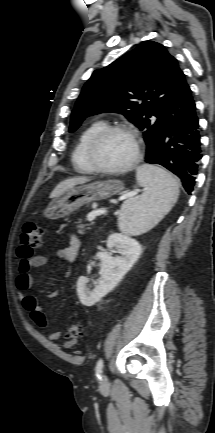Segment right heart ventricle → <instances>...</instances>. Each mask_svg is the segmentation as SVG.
<instances>
[{"label":"right heart ventricle","mask_w":215,"mask_h":433,"mask_svg":"<svg viewBox=\"0 0 215 433\" xmlns=\"http://www.w3.org/2000/svg\"><path fill=\"white\" fill-rule=\"evenodd\" d=\"M104 127H106L105 121L96 120L91 122L80 134L77 144L72 153V163L76 171L80 173L94 172V170L87 161L86 150L92 137Z\"/></svg>","instance_id":"right-heart-ventricle-1"}]
</instances>
